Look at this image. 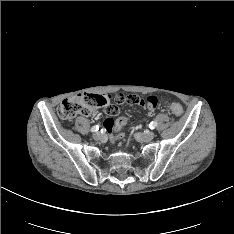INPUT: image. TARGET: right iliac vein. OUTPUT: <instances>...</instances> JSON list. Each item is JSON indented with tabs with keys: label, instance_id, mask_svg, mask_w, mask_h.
I'll return each mask as SVG.
<instances>
[{
	"label": "right iliac vein",
	"instance_id": "1",
	"mask_svg": "<svg viewBox=\"0 0 234 234\" xmlns=\"http://www.w3.org/2000/svg\"><path fill=\"white\" fill-rule=\"evenodd\" d=\"M103 137H104V135L102 133H100V132H96V133L93 134V138L95 140H101Z\"/></svg>",
	"mask_w": 234,
	"mask_h": 234
}]
</instances>
